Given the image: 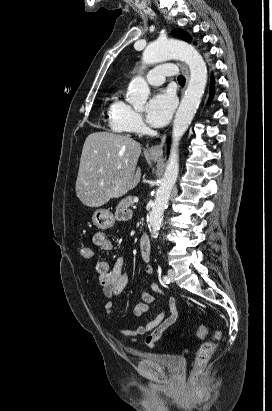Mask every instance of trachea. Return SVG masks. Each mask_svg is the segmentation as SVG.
Masks as SVG:
<instances>
[{"label":"trachea","instance_id":"trachea-1","mask_svg":"<svg viewBox=\"0 0 272 411\" xmlns=\"http://www.w3.org/2000/svg\"><path fill=\"white\" fill-rule=\"evenodd\" d=\"M178 82L179 84H185V77L183 75H179L178 76Z\"/></svg>","mask_w":272,"mask_h":411}]
</instances>
